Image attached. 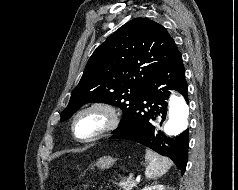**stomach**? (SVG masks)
Masks as SVG:
<instances>
[{"mask_svg":"<svg viewBox=\"0 0 238 190\" xmlns=\"http://www.w3.org/2000/svg\"><path fill=\"white\" fill-rule=\"evenodd\" d=\"M115 161L116 159L111 156H103L97 160L96 166L100 169H109L114 165Z\"/></svg>","mask_w":238,"mask_h":190,"instance_id":"0dacf381","label":"stomach"}]
</instances>
